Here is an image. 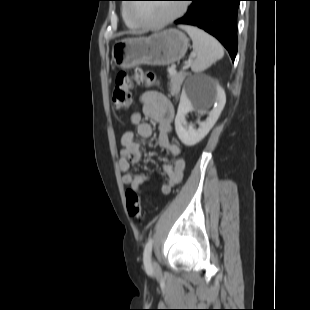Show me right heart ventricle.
<instances>
[{
    "instance_id": "1",
    "label": "right heart ventricle",
    "mask_w": 310,
    "mask_h": 310,
    "mask_svg": "<svg viewBox=\"0 0 310 310\" xmlns=\"http://www.w3.org/2000/svg\"><path fill=\"white\" fill-rule=\"evenodd\" d=\"M126 6L127 5H124L123 8H122V14H123V18H124V21L126 23V25L132 29H137L139 28V26H137L133 21H131L127 14H126Z\"/></svg>"
}]
</instances>
